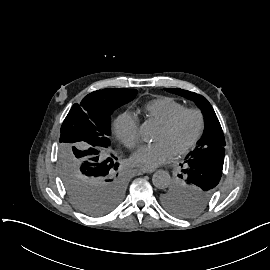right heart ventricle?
<instances>
[{"label": "right heart ventricle", "instance_id": "obj_1", "mask_svg": "<svg viewBox=\"0 0 270 270\" xmlns=\"http://www.w3.org/2000/svg\"><path fill=\"white\" fill-rule=\"evenodd\" d=\"M144 109L147 117L157 119L162 124L184 110L185 106L170 97L160 96L148 102Z\"/></svg>", "mask_w": 270, "mask_h": 270}]
</instances>
